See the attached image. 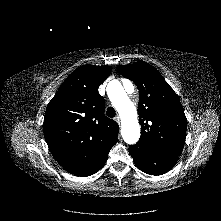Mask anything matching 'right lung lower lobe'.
<instances>
[{
    "label": "right lung lower lobe",
    "instance_id": "1",
    "mask_svg": "<svg viewBox=\"0 0 221 221\" xmlns=\"http://www.w3.org/2000/svg\"><path fill=\"white\" fill-rule=\"evenodd\" d=\"M110 149L105 151L103 154H101L92 164L86 167L71 171V173L76 176H83V177L96 173L106 163Z\"/></svg>",
    "mask_w": 221,
    "mask_h": 221
}]
</instances>
